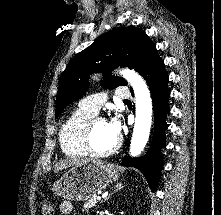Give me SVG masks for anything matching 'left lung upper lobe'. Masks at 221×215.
Instances as JSON below:
<instances>
[{
	"mask_svg": "<svg viewBox=\"0 0 221 215\" xmlns=\"http://www.w3.org/2000/svg\"><path fill=\"white\" fill-rule=\"evenodd\" d=\"M161 60L150 38L134 26L111 30L101 35L85 50L75 55L62 73L56 96V115L88 89V77L104 74L102 86L109 89L126 85L121 77L107 75L113 68L129 67L141 76Z\"/></svg>",
	"mask_w": 221,
	"mask_h": 215,
	"instance_id": "obj_1",
	"label": "left lung upper lobe"
}]
</instances>
